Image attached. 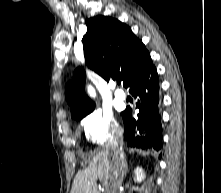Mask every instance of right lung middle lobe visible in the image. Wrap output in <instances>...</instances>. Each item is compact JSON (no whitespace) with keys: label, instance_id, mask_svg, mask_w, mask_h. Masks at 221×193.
<instances>
[{"label":"right lung middle lobe","instance_id":"1","mask_svg":"<svg viewBox=\"0 0 221 193\" xmlns=\"http://www.w3.org/2000/svg\"><path fill=\"white\" fill-rule=\"evenodd\" d=\"M84 116H86V115H84ZM84 116H77V117H75V119H81V118H83Z\"/></svg>","mask_w":221,"mask_h":193}]
</instances>
